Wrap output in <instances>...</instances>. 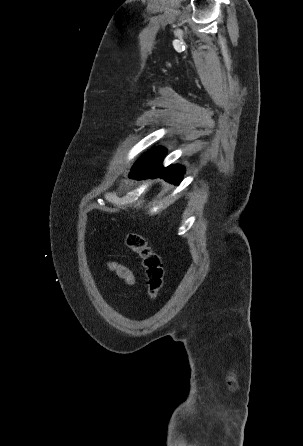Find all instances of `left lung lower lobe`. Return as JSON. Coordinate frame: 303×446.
<instances>
[{"instance_id": "1", "label": "left lung lower lobe", "mask_w": 303, "mask_h": 446, "mask_svg": "<svg viewBox=\"0 0 303 446\" xmlns=\"http://www.w3.org/2000/svg\"><path fill=\"white\" fill-rule=\"evenodd\" d=\"M166 154L164 147H157L142 155L131 169L130 177L140 179L151 175L164 178L166 181L178 184L183 178L184 168L179 165L163 167L161 165Z\"/></svg>"}]
</instances>
